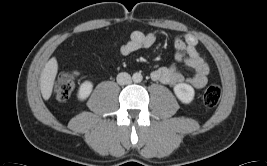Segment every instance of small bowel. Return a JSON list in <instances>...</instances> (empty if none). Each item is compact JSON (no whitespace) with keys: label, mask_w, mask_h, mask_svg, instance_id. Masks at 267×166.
<instances>
[{"label":"small bowel","mask_w":267,"mask_h":166,"mask_svg":"<svg viewBox=\"0 0 267 166\" xmlns=\"http://www.w3.org/2000/svg\"><path fill=\"white\" fill-rule=\"evenodd\" d=\"M156 42V35L152 32L134 31L129 40L124 43L120 52L122 55H130L142 48H150ZM174 62L166 67H161L151 73V77L163 84L177 85L182 82L189 83L192 87L202 88L207 82L209 66L205 58L197 48V40L192 34L174 37ZM176 63H183L191 68L194 73L185 77ZM76 75V73H72Z\"/></svg>","instance_id":"small-bowel-1"}]
</instances>
